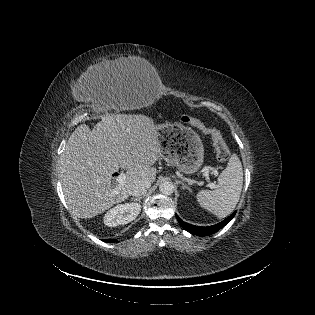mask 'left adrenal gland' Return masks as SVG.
I'll use <instances>...</instances> for the list:
<instances>
[{
    "label": "left adrenal gland",
    "mask_w": 315,
    "mask_h": 315,
    "mask_svg": "<svg viewBox=\"0 0 315 315\" xmlns=\"http://www.w3.org/2000/svg\"><path fill=\"white\" fill-rule=\"evenodd\" d=\"M177 182L182 185L183 189H188L189 191H191L190 187L185 185L182 181H177Z\"/></svg>",
    "instance_id": "a2214340"
}]
</instances>
